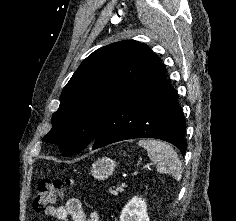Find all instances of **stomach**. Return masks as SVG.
Wrapping results in <instances>:
<instances>
[{
  "instance_id": "obj_1",
  "label": "stomach",
  "mask_w": 236,
  "mask_h": 221,
  "mask_svg": "<svg viewBox=\"0 0 236 221\" xmlns=\"http://www.w3.org/2000/svg\"><path fill=\"white\" fill-rule=\"evenodd\" d=\"M116 168V162L108 157L99 158L92 164L91 174L95 179L105 180Z\"/></svg>"
}]
</instances>
